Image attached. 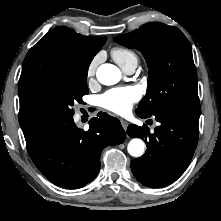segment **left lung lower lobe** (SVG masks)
I'll return each instance as SVG.
<instances>
[{
    "label": "left lung lower lobe",
    "instance_id": "left-lung-lower-lobe-1",
    "mask_svg": "<svg viewBox=\"0 0 221 221\" xmlns=\"http://www.w3.org/2000/svg\"><path fill=\"white\" fill-rule=\"evenodd\" d=\"M136 114L141 118L153 116L160 125L154 132H150L146 125L128 126L129 136L142 138L147 144L144 155L132 160V172L145 186H167L176 181L190 164L198 142L199 115L160 107L154 108L149 115Z\"/></svg>",
    "mask_w": 221,
    "mask_h": 221
}]
</instances>
